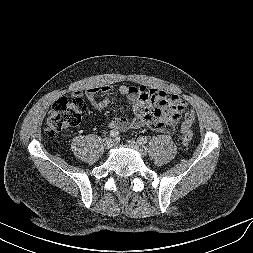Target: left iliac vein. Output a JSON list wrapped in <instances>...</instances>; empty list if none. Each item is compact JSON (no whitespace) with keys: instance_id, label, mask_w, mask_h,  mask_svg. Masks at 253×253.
Wrapping results in <instances>:
<instances>
[{"instance_id":"obj_1","label":"left iliac vein","mask_w":253,"mask_h":253,"mask_svg":"<svg viewBox=\"0 0 253 253\" xmlns=\"http://www.w3.org/2000/svg\"><path fill=\"white\" fill-rule=\"evenodd\" d=\"M129 146L138 151L141 156H145L147 154V149L144 146H142L139 142L130 140Z\"/></svg>"}]
</instances>
